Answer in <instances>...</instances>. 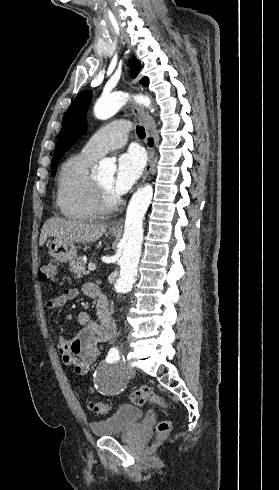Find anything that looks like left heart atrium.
Instances as JSON below:
<instances>
[{
  "mask_svg": "<svg viewBox=\"0 0 279 490\" xmlns=\"http://www.w3.org/2000/svg\"><path fill=\"white\" fill-rule=\"evenodd\" d=\"M144 170V161L137 151H128L117 160V169L111 184V193L115 197L126 194L140 179Z\"/></svg>",
  "mask_w": 279,
  "mask_h": 490,
  "instance_id": "left-heart-atrium-1",
  "label": "left heart atrium"
}]
</instances>
